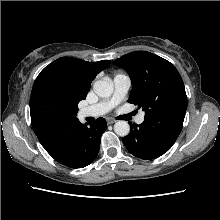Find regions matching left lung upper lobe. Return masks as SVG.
<instances>
[{"label": "left lung upper lobe", "mask_w": 220, "mask_h": 220, "mask_svg": "<svg viewBox=\"0 0 220 220\" xmlns=\"http://www.w3.org/2000/svg\"><path fill=\"white\" fill-rule=\"evenodd\" d=\"M132 81L129 103L138 105L145 116L186 112L187 96L183 80L169 61L150 52H133L116 59Z\"/></svg>", "instance_id": "obj_1"}]
</instances>
